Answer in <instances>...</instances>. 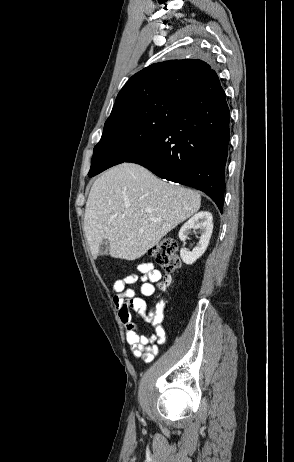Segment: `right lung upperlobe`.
<instances>
[{
    "mask_svg": "<svg viewBox=\"0 0 294 462\" xmlns=\"http://www.w3.org/2000/svg\"><path fill=\"white\" fill-rule=\"evenodd\" d=\"M211 66L198 59L170 60L152 64L133 75L117 95L112 112L169 93L185 97L218 81Z\"/></svg>",
    "mask_w": 294,
    "mask_h": 462,
    "instance_id": "right-lung-upper-lobe-1",
    "label": "right lung upper lobe"
}]
</instances>
